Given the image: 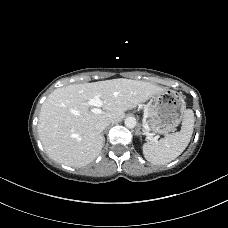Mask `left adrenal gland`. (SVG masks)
Returning a JSON list of instances; mask_svg holds the SVG:
<instances>
[{"mask_svg": "<svg viewBox=\"0 0 228 228\" xmlns=\"http://www.w3.org/2000/svg\"><path fill=\"white\" fill-rule=\"evenodd\" d=\"M142 132L140 131V128H138V130L136 131V135H141Z\"/></svg>", "mask_w": 228, "mask_h": 228, "instance_id": "a2214340", "label": "left adrenal gland"}]
</instances>
